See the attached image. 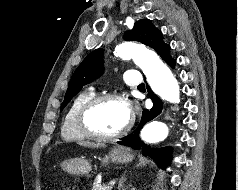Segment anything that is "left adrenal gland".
<instances>
[{"label": "left adrenal gland", "instance_id": "a2214340", "mask_svg": "<svg viewBox=\"0 0 238 190\" xmlns=\"http://www.w3.org/2000/svg\"><path fill=\"white\" fill-rule=\"evenodd\" d=\"M123 182H124V178H122L121 180H120V183H119V190H121V187H123Z\"/></svg>", "mask_w": 238, "mask_h": 190}]
</instances>
